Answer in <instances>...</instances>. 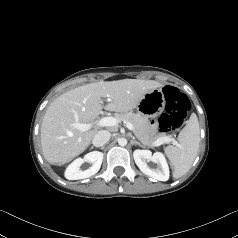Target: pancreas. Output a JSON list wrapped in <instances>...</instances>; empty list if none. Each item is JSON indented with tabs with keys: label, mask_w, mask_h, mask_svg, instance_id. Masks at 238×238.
Masks as SVG:
<instances>
[{
	"label": "pancreas",
	"mask_w": 238,
	"mask_h": 238,
	"mask_svg": "<svg viewBox=\"0 0 238 238\" xmlns=\"http://www.w3.org/2000/svg\"><path fill=\"white\" fill-rule=\"evenodd\" d=\"M115 117L120 122H129L134 126L133 132L135 136L146 146H153L158 139L165 138L164 134H159L156 137H149L147 134V118L133 112H123L115 114Z\"/></svg>",
	"instance_id": "cf45deb5"
}]
</instances>
